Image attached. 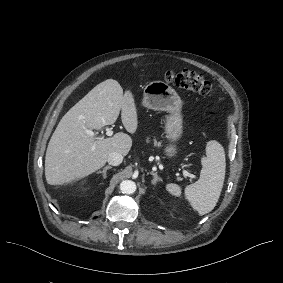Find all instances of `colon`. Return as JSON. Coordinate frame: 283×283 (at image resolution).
Instances as JSON below:
<instances>
[{
  "label": "colon",
  "instance_id": "1",
  "mask_svg": "<svg viewBox=\"0 0 283 283\" xmlns=\"http://www.w3.org/2000/svg\"><path fill=\"white\" fill-rule=\"evenodd\" d=\"M165 80L169 84L190 92L202 95H208L212 92L211 83L204 76L192 70L168 71L165 74Z\"/></svg>",
  "mask_w": 283,
  "mask_h": 283
}]
</instances>
